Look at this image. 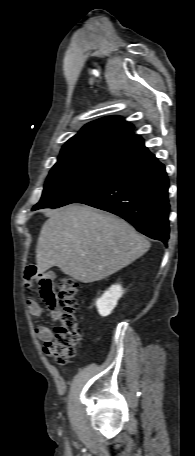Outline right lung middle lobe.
Segmentation results:
<instances>
[{"label": "right lung middle lobe", "instance_id": "dd1d6c3e", "mask_svg": "<svg viewBox=\"0 0 195 456\" xmlns=\"http://www.w3.org/2000/svg\"><path fill=\"white\" fill-rule=\"evenodd\" d=\"M122 170L89 161L57 163L48 175L41 200L34 210L76 203L107 184Z\"/></svg>", "mask_w": 195, "mask_h": 456}]
</instances>
